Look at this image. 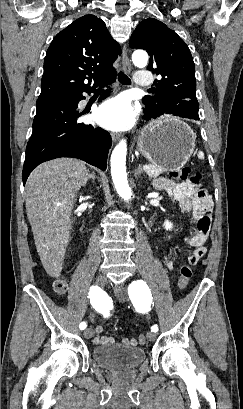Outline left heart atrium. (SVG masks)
I'll return each mask as SVG.
<instances>
[{"label": "left heart atrium", "mask_w": 243, "mask_h": 409, "mask_svg": "<svg viewBox=\"0 0 243 409\" xmlns=\"http://www.w3.org/2000/svg\"><path fill=\"white\" fill-rule=\"evenodd\" d=\"M136 111L131 102L123 95L114 97L103 103L97 113L96 120L103 127L120 131L133 126Z\"/></svg>", "instance_id": "39dd6f15"}]
</instances>
